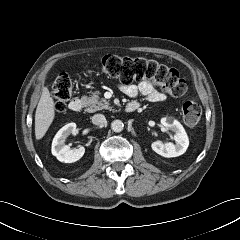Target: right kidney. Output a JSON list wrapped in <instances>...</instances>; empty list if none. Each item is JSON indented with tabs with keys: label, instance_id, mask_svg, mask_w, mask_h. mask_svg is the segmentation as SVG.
Returning a JSON list of instances; mask_svg holds the SVG:
<instances>
[{
	"label": "right kidney",
	"instance_id": "1",
	"mask_svg": "<svg viewBox=\"0 0 240 240\" xmlns=\"http://www.w3.org/2000/svg\"><path fill=\"white\" fill-rule=\"evenodd\" d=\"M76 124L69 123L63 126L55 135L52 142V154L57 157L61 162L73 163L78 161L85 153L83 146L77 149H70L68 145H65L66 138L70 134H75Z\"/></svg>",
	"mask_w": 240,
	"mask_h": 240
}]
</instances>
